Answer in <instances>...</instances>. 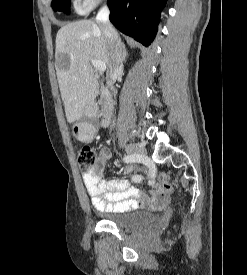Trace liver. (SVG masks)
I'll return each instance as SVG.
<instances>
[{"mask_svg": "<svg viewBox=\"0 0 247 275\" xmlns=\"http://www.w3.org/2000/svg\"><path fill=\"white\" fill-rule=\"evenodd\" d=\"M55 58L66 118L73 123L99 92L91 59L103 61L109 70V48L100 26L92 20H80L61 27L56 35Z\"/></svg>", "mask_w": 247, "mask_h": 275, "instance_id": "6515ba94", "label": "liver"}]
</instances>
